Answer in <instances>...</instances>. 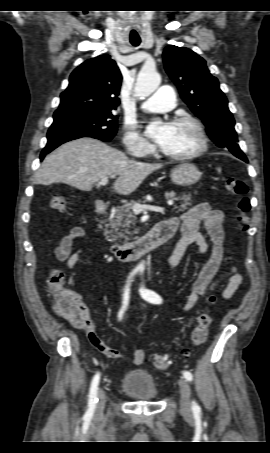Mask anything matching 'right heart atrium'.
Segmentation results:
<instances>
[{
  "label": "right heart atrium",
  "mask_w": 270,
  "mask_h": 453,
  "mask_svg": "<svg viewBox=\"0 0 270 453\" xmlns=\"http://www.w3.org/2000/svg\"><path fill=\"white\" fill-rule=\"evenodd\" d=\"M123 143L128 153L138 157L146 156L153 150L152 145L140 135L134 125L126 127Z\"/></svg>",
  "instance_id": "right-heart-atrium-1"
}]
</instances>
